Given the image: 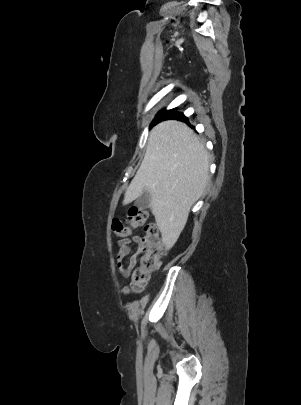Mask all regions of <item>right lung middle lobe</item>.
<instances>
[{"mask_svg": "<svg viewBox=\"0 0 301 405\" xmlns=\"http://www.w3.org/2000/svg\"><path fill=\"white\" fill-rule=\"evenodd\" d=\"M178 115H181V113H176L175 109L168 110V111L164 109V110L160 111L157 114V116L153 120L151 126L155 125L156 123H158V122H160L162 120H166V119H169L171 117L178 116Z\"/></svg>", "mask_w": 301, "mask_h": 405, "instance_id": "right-lung-middle-lobe-1", "label": "right lung middle lobe"}]
</instances>
